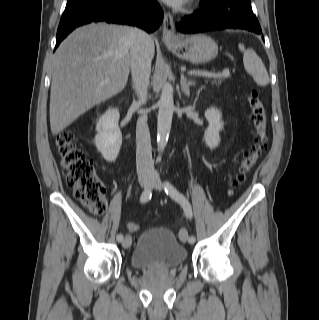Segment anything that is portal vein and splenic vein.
<instances>
[{"mask_svg":"<svg viewBox=\"0 0 319 320\" xmlns=\"http://www.w3.org/2000/svg\"><path fill=\"white\" fill-rule=\"evenodd\" d=\"M189 75L194 76H202L208 78H228L230 76L229 70H224L222 73H212L208 71H201V70H192L188 72Z\"/></svg>","mask_w":319,"mask_h":320,"instance_id":"obj_1","label":"portal vein and splenic vein"}]
</instances>
